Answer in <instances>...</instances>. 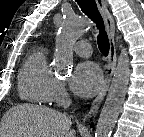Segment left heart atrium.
Returning <instances> with one entry per match:
<instances>
[{
  "label": "left heart atrium",
  "mask_w": 144,
  "mask_h": 137,
  "mask_svg": "<svg viewBox=\"0 0 144 137\" xmlns=\"http://www.w3.org/2000/svg\"><path fill=\"white\" fill-rule=\"evenodd\" d=\"M70 83L76 95L80 97H90L102 86V72L94 62L87 61L80 63L76 67Z\"/></svg>",
  "instance_id": "1"
}]
</instances>
